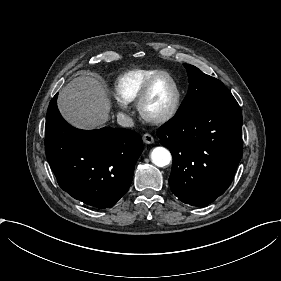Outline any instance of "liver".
Masks as SVG:
<instances>
[{"label": "liver", "mask_w": 281, "mask_h": 281, "mask_svg": "<svg viewBox=\"0 0 281 281\" xmlns=\"http://www.w3.org/2000/svg\"><path fill=\"white\" fill-rule=\"evenodd\" d=\"M58 107L63 117L80 129L101 128L109 120L111 102L103 85L90 76H79L62 88Z\"/></svg>", "instance_id": "liver-1"}]
</instances>
